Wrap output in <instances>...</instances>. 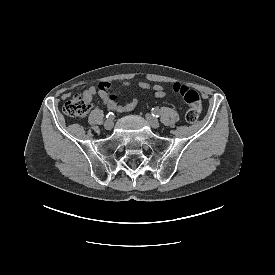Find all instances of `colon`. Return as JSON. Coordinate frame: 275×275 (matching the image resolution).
Returning a JSON list of instances; mask_svg holds the SVG:
<instances>
[{"label": "colon", "instance_id": "colon-1", "mask_svg": "<svg viewBox=\"0 0 275 275\" xmlns=\"http://www.w3.org/2000/svg\"><path fill=\"white\" fill-rule=\"evenodd\" d=\"M171 90L181 96L186 104V121L189 123L195 122L199 118L202 110L199 94L195 90L181 83L173 84ZM91 101L92 99L87 98L84 95H74L64 103L63 112L71 118L80 119L90 110Z\"/></svg>", "mask_w": 275, "mask_h": 275}]
</instances>
